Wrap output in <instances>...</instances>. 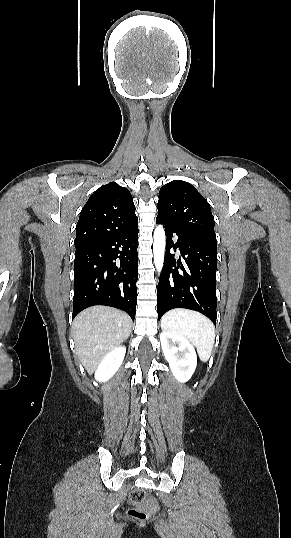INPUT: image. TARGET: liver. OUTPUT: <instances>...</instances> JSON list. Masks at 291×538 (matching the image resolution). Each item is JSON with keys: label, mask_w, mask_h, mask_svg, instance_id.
Listing matches in <instances>:
<instances>
[{"label": "liver", "mask_w": 291, "mask_h": 538, "mask_svg": "<svg viewBox=\"0 0 291 538\" xmlns=\"http://www.w3.org/2000/svg\"><path fill=\"white\" fill-rule=\"evenodd\" d=\"M131 328L128 314L106 306L87 308L75 317V353L89 374L110 351L128 339Z\"/></svg>", "instance_id": "6515ba94"}]
</instances>
